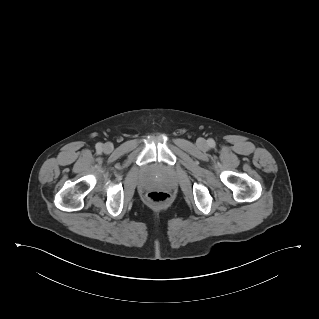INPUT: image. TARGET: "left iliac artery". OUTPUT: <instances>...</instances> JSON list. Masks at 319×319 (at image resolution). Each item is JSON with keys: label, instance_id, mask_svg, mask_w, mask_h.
I'll return each instance as SVG.
<instances>
[{"label": "left iliac artery", "instance_id": "1", "mask_svg": "<svg viewBox=\"0 0 319 319\" xmlns=\"http://www.w3.org/2000/svg\"><path fill=\"white\" fill-rule=\"evenodd\" d=\"M208 144H209V146L214 147L215 146V141L213 139H209L208 140Z\"/></svg>", "mask_w": 319, "mask_h": 319}]
</instances>
